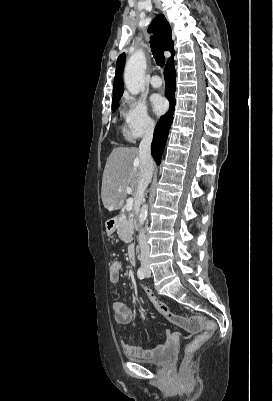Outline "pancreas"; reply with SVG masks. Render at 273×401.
<instances>
[{"mask_svg": "<svg viewBox=\"0 0 273 401\" xmlns=\"http://www.w3.org/2000/svg\"><path fill=\"white\" fill-rule=\"evenodd\" d=\"M117 235L121 241H125V243H130L132 241V235L134 233V225H133V215L129 213L128 217L123 213L117 219L116 223Z\"/></svg>", "mask_w": 273, "mask_h": 401, "instance_id": "1", "label": "pancreas"}]
</instances>
